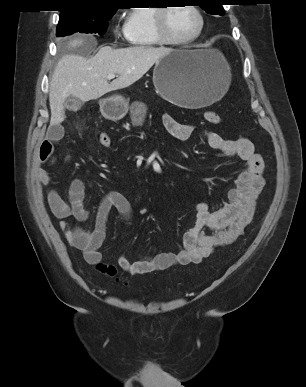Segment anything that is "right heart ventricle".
Returning <instances> with one entry per match:
<instances>
[{
  "instance_id": "right-heart-ventricle-1",
  "label": "right heart ventricle",
  "mask_w": 306,
  "mask_h": 387,
  "mask_svg": "<svg viewBox=\"0 0 306 387\" xmlns=\"http://www.w3.org/2000/svg\"><path fill=\"white\" fill-rule=\"evenodd\" d=\"M155 9L154 7H138L128 13L124 24V34L131 45L147 48L162 44L154 29Z\"/></svg>"
}]
</instances>
